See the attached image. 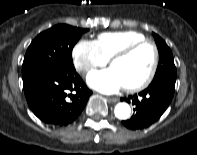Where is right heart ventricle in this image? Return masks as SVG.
<instances>
[{"label": "right heart ventricle", "mask_w": 197, "mask_h": 155, "mask_svg": "<svg viewBox=\"0 0 197 155\" xmlns=\"http://www.w3.org/2000/svg\"><path fill=\"white\" fill-rule=\"evenodd\" d=\"M146 37L134 30L107 31L102 32L95 40L101 51L109 59L115 52L124 46L145 40Z\"/></svg>", "instance_id": "1"}]
</instances>
